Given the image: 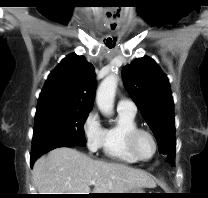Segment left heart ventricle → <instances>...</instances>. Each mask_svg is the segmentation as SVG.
Listing matches in <instances>:
<instances>
[{
    "label": "left heart ventricle",
    "mask_w": 208,
    "mask_h": 198,
    "mask_svg": "<svg viewBox=\"0 0 208 198\" xmlns=\"http://www.w3.org/2000/svg\"><path fill=\"white\" fill-rule=\"evenodd\" d=\"M136 145L140 155L143 157L148 158L153 154L154 144L148 135L141 134L137 139Z\"/></svg>",
    "instance_id": "1"
}]
</instances>
